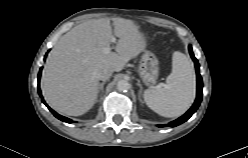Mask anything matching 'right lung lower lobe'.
I'll use <instances>...</instances> for the list:
<instances>
[{"label":"right lung lower lobe","instance_id":"obj_1","mask_svg":"<svg viewBox=\"0 0 248 158\" xmlns=\"http://www.w3.org/2000/svg\"><path fill=\"white\" fill-rule=\"evenodd\" d=\"M41 72H42V69H40L39 71V74H38V91H39V95L40 97H42V94H41V91H40V88H39V81H40V75H41ZM42 102L48 107V105L46 104V102L44 101V99L42 98ZM48 109L54 114V116L64 122H67V123H71L73 122L71 119H68L66 117H63L61 115H59L58 113H56L54 110H52L50 107H48Z\"/></svg>","mask_w":248,"mask_h":158}]
</instances>
